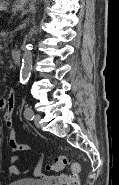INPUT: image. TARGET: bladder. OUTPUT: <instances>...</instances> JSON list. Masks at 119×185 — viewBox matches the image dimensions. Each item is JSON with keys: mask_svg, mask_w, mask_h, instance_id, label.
<instances>
[{"mask_svg": "<svg viewBox=\"0 0 119 185\" xmlns=\"http://www.w3.org/2000/svg\"><path fill=\"white\" fill-rule=\"evenodd\" d=\"M8 185H45V184L37 179L23 178L12 181Z\"/></svg>", "mask_w": 119, "mask_h": 185, "instance_id": "1", "label": "bladder"}]
</instances>
